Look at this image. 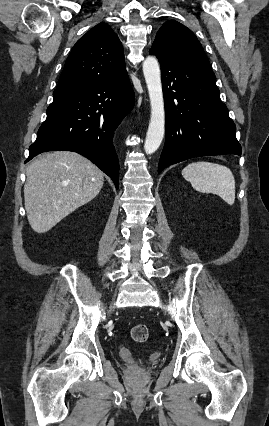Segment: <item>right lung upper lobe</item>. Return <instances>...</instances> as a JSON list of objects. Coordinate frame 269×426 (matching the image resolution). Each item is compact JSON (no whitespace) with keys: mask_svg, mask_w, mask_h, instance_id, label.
<instances>
[{"mask_svg":"<svg viewBox=\"0 0 269 426\" xmlns=\"http://www.w3.org/2000/svg\"><path fill=\"white\" fill-rule=\"evenodd\" d=\"M125 73L122 44L108 24L100 23L75 43L54 92L108 82Z\"/></svg>","mask_w":269,"mask_h":426,"instance_id":"1","label":"right lung upper lobe"}]
</instances>
